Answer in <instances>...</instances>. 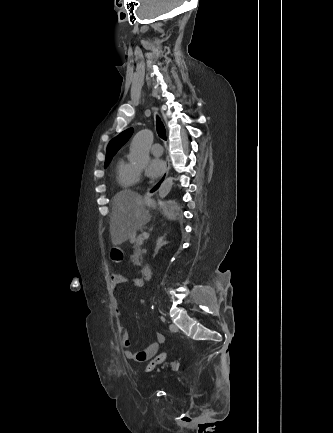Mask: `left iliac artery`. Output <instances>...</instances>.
Returning a JSON list of instances; mask_svg holds the SVG:
<instances>
[{
  "mask_svg": "<svg viewBox=\"0 0 333 433\" xmlns=\"http://www.w3.org/2000/svg\"><path fill=\"white\" fill-rule=\"evenodd\" d=\"M160 318H161L162 321H165V318H164V317H160Z\"/></svg>",
  "mask_w": 333,
  "mask_h": 433,
  "instance_id": "44dca946",
  "label": "left iliac artery"
}]
</instances>
